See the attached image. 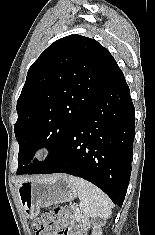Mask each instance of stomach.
Listing matches in <instances>:
<instances>
[{"instance_id": "0dacf381", "label": "stomach", "mask_w": 155, "mask_h": 235, "mask_svg": "<svg viewBox=\"0 0 155 235\" xmlns=\"http://www.w3.org/2000/svg\"><path fill=\"white\" fill-rule=\"evenodd\" d=\"M76 196V188L66 175L25 181L18 185L19 201L29 218H35L41 207L71 201Z\"/></svg>"}]
</instances>
